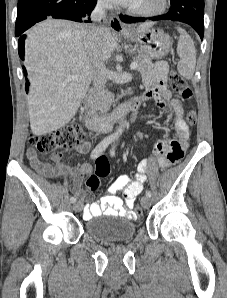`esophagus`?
<instances>
[{"label":"esophagus","instance_id":"1","mask_svg":"<svg viewBox=\"0 0 227 298\" xmlns=\"http://www.w3.org/2000/svg\"><path fill=\"white\" fill-rule=\"evenodd\" d=\"M108 23L110 28L116 32L125 31V27L123 26L122 22L120 21L119 17L116 14L112 13L109 15Z\"/></svg>","mask_w":227,"mask_h":298}]
</instances>
